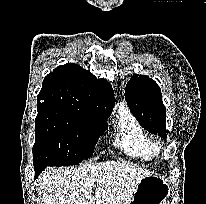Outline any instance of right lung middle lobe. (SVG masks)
Wrapping results in <instances>:
<instances>
[{"label": "right lung middle lobe", "mask_w": 206, "mask_h": 204, "mask_svg": "<svg viewBox=\"0 0 206 204\" xmlns=\"http://www.w3.org/2000/svg\"><path fill=\"white\" fill-rule=\"evenodd\" d=\"M78 110L38 106L34 166H70L92 157L105 119Z\"/></svg>", "instance_id": "obj_1"}]
</instances>
